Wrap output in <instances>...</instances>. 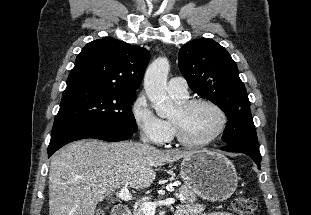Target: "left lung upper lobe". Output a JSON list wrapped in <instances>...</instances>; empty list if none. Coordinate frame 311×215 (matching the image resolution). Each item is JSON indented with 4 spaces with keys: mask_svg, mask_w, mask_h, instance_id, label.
Instances as JSON below:
<instances>
[{
    "mask_svg": "<svg viewBox=\"0 0 311 215\" xmlns=\"http://www.w3.org/2000/svg\"><path fill=\"white\" fill-rule=\"evenodd\" d=\"M179 69L194 92L225 112L222 140L258 148L248 94L228 51L212 39L193 40L179 51Z\"/></svg>",
    "mask_w": 311,
    "mask_h": 215,
    "instance_id": "obj_1",
    "label": "left lung upper lobe"
}]
</instances>
